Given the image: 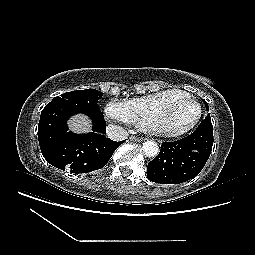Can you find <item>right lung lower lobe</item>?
Wrapping results in <instances>:
<instances>
[{
  "mask_svg": "<svg viewBox=\"0 0 255 255\" xmlns=\"http://www.w3.org/2000/svg\"><path fill=\"white\" fill-rule=\"evenodd\" d=\"M93 131L74 134L63 130L47 149H41L45 159L54 167L71 173H88L106 165L114 151L124 141L106 138V122L93 120Z\"/></svg>",
  "mask_w": 255,
  "mask_h": 255,
  "instance_id": "1",
  "label": "right lung lower lobe"
}]
</instances>
